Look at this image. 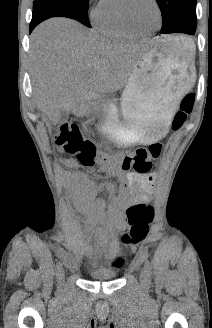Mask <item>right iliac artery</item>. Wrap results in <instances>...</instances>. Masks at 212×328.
Returning a JSON list of instances; mask_svg holds the SVG:
<instances>
[{
	"label": "right iliac artery",
	"mask_w": 212,
	"mask_h": 328,
	"mask_svg": "<svg viewBox=\"0 0 212 328\" xmlns=\"http://www.w3.org/2000/svg\"><path fill=\"white\" fill-rule=\"evenodd\" d=\"M62 270V265L61 263H57L56 265V276L59 275L60 271Z\"/></svg>",
	"instance_id": "1"
}]
</instances>
